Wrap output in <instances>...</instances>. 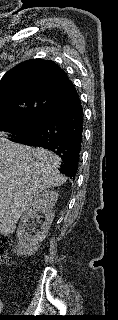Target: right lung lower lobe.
<instances>
[{
    "instance_id": "obj_1",
    "label": "right lung lower lobe",
    "mask_w": 118,
    "mask_h": 320,
    "mask_svg": "<svg viewBox=\"0 0 118 320\" xmlns=\"http://www.w3.org/2000/svg\"><path fill=\"white\" fill-rule=\"evenodd\" d=\"M83 108L79 96L55 107L42 127L15 142L49 149L63 160L60 172L75 178L83 132Z\"/></svg>"
}]
</instances>
